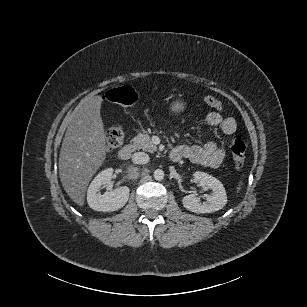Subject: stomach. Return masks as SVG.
<instances>
[{"label": "stomach", "mask_w": 307, "mask_h": 307, "mask_svg": "<svg viewBox=\"0 0 307 307\" xmlns=\"http://www.w3.org/2000/svg\"><path fill=\"white\" fill-rule=\"evenodd\" d=\"M188 102L184 98L172 100L167 106V112L171 116H180L188 110Z\"/></svg>", "instance_id": "obj_1"}]
</instances>
